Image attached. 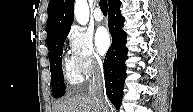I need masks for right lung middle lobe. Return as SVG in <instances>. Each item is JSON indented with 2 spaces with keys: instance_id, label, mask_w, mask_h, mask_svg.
<instances>
[{
  "instance_id": "obj_1",
  "label": "right lung middle lobe",
  "mask_w": 193,
  "mask_h": 112,
  "mask_svg": "<svg viewBox=\"0 0 193 112\" xmlns=\"http://www.w3.org/2000/svg\"><path fill=\"white\" fill-rule=\"evenodd\" d=\"M69 33V30L58 35L53 42L48 45L52 95L54 98H60L65 94V85L62 72V51L64 41Z\"/></svg>"
}]
</instances>
